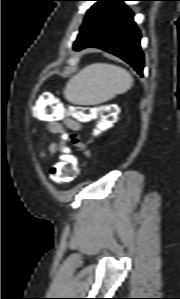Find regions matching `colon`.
<instances>
[{
    "label": "colon",
    "instance_id": "obj_1",
    "mask_svg": "<svg viewBox=\"0 0 180 299\" xmlns=\"http://www.w3.org/2000/svg\"><path fill=\"white\" fill-rule=\"evenodd\" d=\"M114 114L115 113H107L106 108L102 106H75L73 109V115L75 116V118L84 122H90L96 120L99 117L114 118ZM45 115L51 119H58L63 115V113L60 111L58 103L55 102L46 108ZM101 130L102 128L98 127L95 131V134L100 133ZM78 173V163L69 155L63 154L57 159L52 169L50 170L49 178L56 183L65 184L76 179Z\"/></svg>",
    "mask_w": 180,
    "mask_h": 299
}]
</instances>
